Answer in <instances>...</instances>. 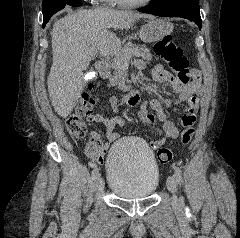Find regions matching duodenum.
Instances as JSON below:
<instances>
[{
  "instance_id": "1",
  "label": "duodenum",
  "mask_w": 240,
  "mask_h": 238,
  "mask_svg": "<svg viewBox=\"0 0 240 238\" xmlns=\"http://www.w3.org/2000/svg\"><path fill=\"white\" fill-rule=\"evenodd\" d=\"M96 70L103 77H108L109 75V67L106 61L98 60L95 64ZM140 100V95L137 91H130L127 94L122 96V102L127 105L134 106Z\"/></svg>"
}]
</instances>
